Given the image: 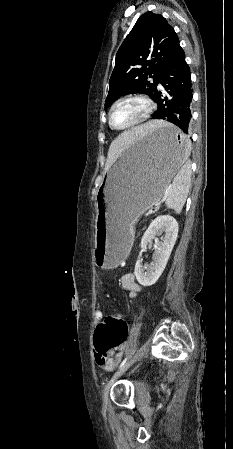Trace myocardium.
<instances>
[{
    "instance_id": "obj_1",
    "label": "myocardium",
    "mask_w": 233,
    "mask_h": 449,
    "mask_svg": "<svg viewBox=\"0 0 233 449\" xmlns=\"http://www.w3.org/2000/svg\"><path fill=\"white\" fill-rule=\"evenodd\" d=\"M130 99L139 100V101H141V102L145 105L146 110H145L144 115H143L139 120L135 121V122L132 123V124H129V125H127V126H124V127H117V126L113 125V123H112V112H113L114 108H115L119 103H121V102H123V101H125V100H130ZM153 110H154V103H153V101H152L147 95H144V94H141V93H130V94H126V95H123V96L119 97V98H118L117 100H115V101L112 103V105L110 106V109H109V111H108V123H109V126H110L112 129H114V130H117V131H125V130H129V129L135 128V127H137V126L142 125L143 123H145V122L150 118V116H151Z\"/></svg>"
}]
</instances>
